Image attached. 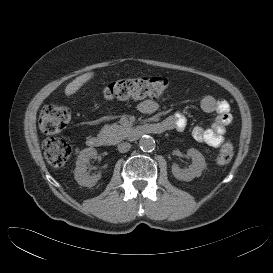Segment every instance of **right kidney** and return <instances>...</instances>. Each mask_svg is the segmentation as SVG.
I'll return each mask as SVG.
<instances>
[{
    "label": "right kidney",
    "instance_id": "right-kidney-1",
    "mask_svg": "<svg viewBox=\"0 0 273 273\" xmlns=\"http://www.w3.org/2000/svg\"><path fill=\"white\" fill-rule=\"evenodd\" d=\"M96 155L97 151L94 148H86L80 152L76 160V167L74 169V178L79 185L93 187L101 178V173L94 176H90L87 173V164L89 163V160L91 158H95Z\"/></svg>",
    "mask_w": 273,
    "mask_h": 273
}]
</instances>
